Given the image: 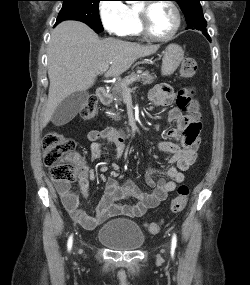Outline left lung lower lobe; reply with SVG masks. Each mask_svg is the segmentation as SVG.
<instances>
[{
    "instance_id": "1",
    "label": "left lung lower lobe",
    "mask_w": 250,
    "mask_h": 285,
    "mask_svg": "<svg viewBox=\"0 0 250 285\" xmlns=\"http://www.w3.org/2000/svg\"><path fill=\"white\" fill-rule=\"evenodd\" d=\"M203 34L205 35V37H206L209 41H211V40H210V37H209V35H208L207 32H203Z\"/></svg>"
}]
</instances>
